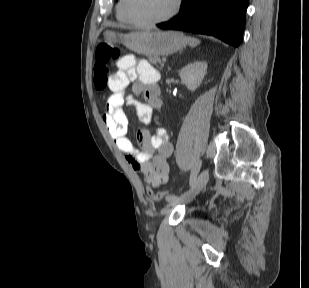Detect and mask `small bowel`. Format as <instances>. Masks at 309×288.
<instances>
[{"label": "small bowel", "instance_id": "1", "mask_svg": "<svg viewBox=\"0 0 309 288\" xmlns=\"http://www.w3.org/2000/svg\"><path fill=\"white\" fill-rule=\"evenodd\" d=\"M157 72L146 60H136L127 55L117 62V69L109 81L112 94L108 97L103 114L104 124L116 147L125 155L131 168L142 174L152 187L165 184L169 175L168 158L173 146L167 131L157 127L151 134L141 129L136 134L140 149L127 137L128 120L123 111L125 105L135 107L138 118L144 124L151 122L155 110L162 108L160 89L156 84ZM132 84L129 91L128 86ZM142 95L143 101L137 100Z\"/></svg>", "mask_w": 309, "mask_h": 288}]
</instances>
